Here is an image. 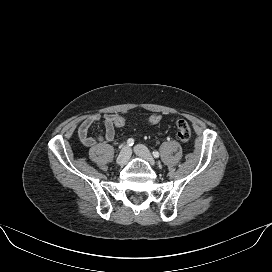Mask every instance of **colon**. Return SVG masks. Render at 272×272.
I'll return each instance as SVG.
<instances>
[{
    "instance_id": "colon-1",
    "label": "colon",
    "mask_w": 272,
    "mask_h": 272,
    "mask_svg": "<svg viewBox=\"0 0 272 272\" xmlns=\"http://www.w3.org/2000/svg\"><path fill=\"white\" fill-rule=\"evenodd\" d=\"M163 116L159 113H154L149 117L150 125H157L162 120ZM126 120L124 117L117 115L114 120V125L116 128H121L125 125ZM176 130H177V138L181 142H188L191 138V128L189 124L183 120L179 119L176 121Z\"/></svg>"
}]
</instances>
